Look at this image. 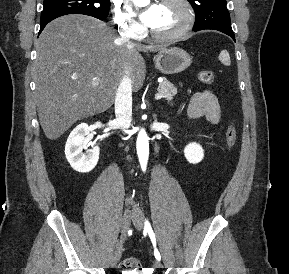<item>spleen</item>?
I'll use <instances>...</instances> for the list:
<instances>
[{
  "instance_id": "spleen-1",
  "label": "spleen",
  "mask_w": 289,
  "mask_h": 274,
  "mask_svg": "<svg viewBox=\"0 0 289 274\" xmlns=\"http://www.w3.org/2000/svg\"><path fill=\"white\" fill-rule=\"evenodd\" d=\"M220 60L221 62L226 65V66H229L231 64V61H230V56L228 54L227 51H222L221 54H220Z\"/></svg>"
}]
</instances>
